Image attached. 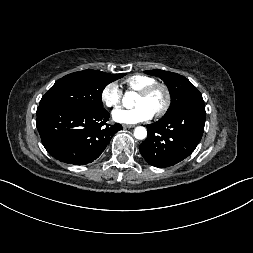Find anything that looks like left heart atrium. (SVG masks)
<instances>
[{
	"label": "left heart atrium",
	"instance_id": "obj_1",
	"mask_svg": "<svg viewBox=\"0 0 253 253\" xmlns=\"http://www.w3.org/2000/svg\"><path fill=\"white\" fill-rule=\"evenodd\" d=\"M153 115L152 110L144 104L136 105L130 109H117L112 114L114 121L121 124H136L148 121Z\"/></svg>",
	"mask_w": 253,
	"mask_h": 253
}]
</instances>
